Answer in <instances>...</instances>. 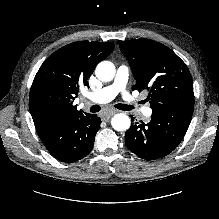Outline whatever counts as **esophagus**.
Here are the masks:
<instances>
[{
  "label": "esophagus",
  "mask_w": 219,
  "mask_h": 219,
  "mask_svg": "<svg viewBox=\"0 0 219 219\" xmlns=\"http://www.w3.org/2000/svg\"><path fill=\"white\" fill-rule=\"evenodd\" d=\"M117 109H109L106 115H103V120L107 121L113 114L117 113Z\"/></svg>",
  "instance_id": "34e87169"
}]
</instances>
